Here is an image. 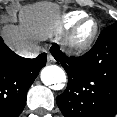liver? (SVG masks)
<instances>
[{
  "mask_svg": "<svg viewBox=\"0 0 117 117\" xmlns=\"http://www.w3.org/2000/svg\"><path fill=\"white\" fill-rule=\"evenodd\" d=\"M55 17V9L50 4L37 3L25 7L20 16L22 27L11 26L4 32L8 45L15 49L29 46V34L51 28Z\"/></svg>",
  "mask_w": 117,
  "mask_h": 117,
  "instance_id": "obj_1",
  "label": "liver"
}]
</instances>
